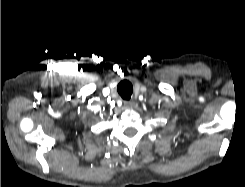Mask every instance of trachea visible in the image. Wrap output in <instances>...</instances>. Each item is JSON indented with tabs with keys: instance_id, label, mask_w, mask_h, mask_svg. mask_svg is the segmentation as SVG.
Segmentation results:
<instances>
[{
	"instance_id": "1",
	"label": "trachea",
	"mask_w": 245,
	"mask_h": 187,
	"mask_svg": "<svg viewBox=\"0 0 245 187\" xmlns=\"http://www.w3.org/2000/svg\"><path fill=\"white\" fill-rule=\"evenodd\" d=\"M117 90L123 99L129 100L133 92V86L129 81L123 80L118 84Z\"/></svg>"
}]
</instances>
